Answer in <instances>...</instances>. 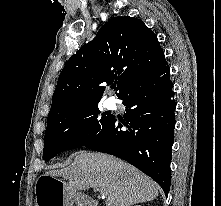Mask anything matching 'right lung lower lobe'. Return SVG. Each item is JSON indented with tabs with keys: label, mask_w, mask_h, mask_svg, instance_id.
Instances as JSON below:
<instances>
[{
	"label": "right lung lower lobe",
	"mask_w": 221,
	"mask_h": 206,
	"mask_svg": "<svg viewBox=\"0 0 221 206\" xmlns=\"http://www.w3.org/2000/svg\"><path fill=\"white\" fill-rule=\"evenodd\" d=\"M165 62L119 99L127 113L111 120L84 146L119 157L154 179L166 195L171 183L175 100ZM123 126L126 129H121Z\"/></svg>",
	"instance_id": "98d812e1"
}]
</instances>
